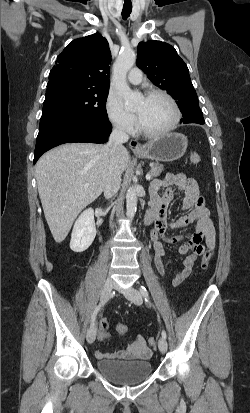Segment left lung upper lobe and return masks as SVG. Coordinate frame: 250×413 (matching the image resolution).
I'll list each match as a JSON object with an SVG mask.
<instances>
[{
	"mask_svg": "<svg viewBox=\"0 0 250 413\" xmlns=\"http://www.w3.org/2000/svg\"><path fill=\"white\" fill-rule=\"evenodd\" d=\"M137 53V66L156 86L176 99L183 115L203 114L188 67L173 46L155 40L140 42Z\"/></svg>",
	"mask_w": 250,
	"mask_h": 413,
	"instance_id": "5c2ea615",
	"label": "left lung upper lobe"
}]
</instances>
